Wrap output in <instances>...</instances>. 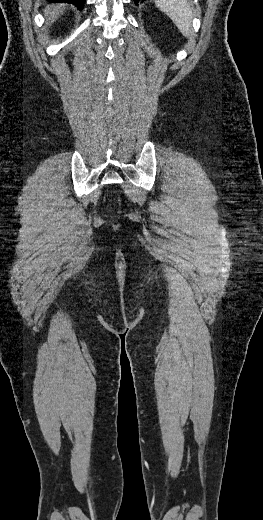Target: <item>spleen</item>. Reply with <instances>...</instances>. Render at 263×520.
<instances>
[{"instance_id":"spleen-1","label":"spleen","mask_w":263,"mask_h":520,"mask_svg":"<svg viewBox=\"0 0 263 520\" xmlns=\"http://www.w3.org/2000/svg\"><path fill=\"white\" fill-rule=\"evenodd\" d=\"M155 5L170 17L185 37L190 36L193 13L188 0H155Z\"/></svg>"}]
</instances>
